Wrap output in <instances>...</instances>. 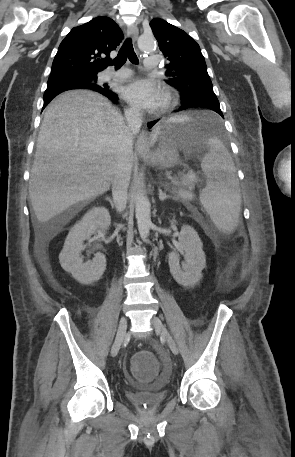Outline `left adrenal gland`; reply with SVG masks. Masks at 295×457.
I'll list each match as a JSON object with an SVG mask.
<instances>
[{
    "label": "left adrenal gland",
    "mask_w": 295,
    "mask_h": 457,
    "mask_svg": "<svg viewBox=\"0 0 295 457\" xmlns=\"http://www.w3.org/2000/svg\"><path fill=\"white\" fill-rule=\"evenodd\" d=\"M170 198H172V197L169 195H166V193H163L162 190L159 188V199L161 201H164V200L170 199Z\"/></svg>",
    "instance_id": "left-adrenal-gland-1"
}]
</instances>
